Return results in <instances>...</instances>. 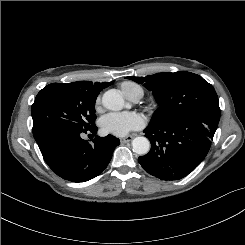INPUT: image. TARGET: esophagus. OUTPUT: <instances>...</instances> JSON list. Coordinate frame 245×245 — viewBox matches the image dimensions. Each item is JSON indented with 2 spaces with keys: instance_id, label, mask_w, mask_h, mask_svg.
Instances as JSON below:
<instances>
[{
  "instance_id": "obj_1",
  "label": "esophagus",
  "mask_w": 245,
  "mask_h": 245,
  "mask_svg": "<svg viewBox=\"0 0 245 245\" xmlns=\"http://www.w3.org/2000/svg\"><path fill=\"white\" fill-rule=\"evenodd\" d=\"M132 138H133V136H131V135H128V136H125V137H121L120 138V142L121 143H127V142L131 141Z\"/></svg>"
}]
</instances>
